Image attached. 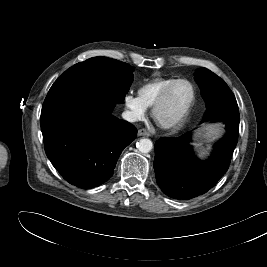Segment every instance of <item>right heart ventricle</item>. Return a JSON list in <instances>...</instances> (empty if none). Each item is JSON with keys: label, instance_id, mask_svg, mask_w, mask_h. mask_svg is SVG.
<instances>
[{"label": "right heart ventricle", "instance_id": "right-heart-ventricle-1", "mask_svg": "<svg viewBox=\"0 0 267 267\" xmlns=\"http://www.w3.org/2000/svg\"><path fill=\"white\" fill-rule=\"evenodd\" d=\"M175 80L177 78H154L139 87L138 96L147 107L152 106L162 90Z\"/></svg>", "mask_w": 267, "mask_h": 267}]
</instances>
